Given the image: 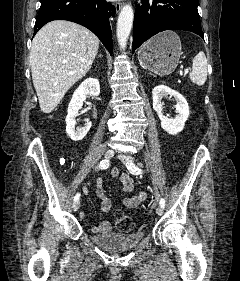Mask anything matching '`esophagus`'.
<instances>
[{
	"instance_id": "obj_1",
	"label": "esophagus",
	"mask_w": 240,
	"mask_h": 281,
	"mask_svg": "<svg viewBox=\"0 0 240 281\" xmlns=\"http://www.w3.org/2000/svg\"><path fill=\"white\" fill-rule=\"evenodd\" d=\"M123 4L121 2H116L115 3V8L116 11L119 12L122 9Z\"/></svg>"
}]
</instances>
